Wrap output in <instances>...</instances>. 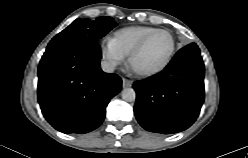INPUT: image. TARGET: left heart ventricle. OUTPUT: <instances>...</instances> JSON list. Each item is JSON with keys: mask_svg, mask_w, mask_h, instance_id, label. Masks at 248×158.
Returning a JSON list of instances; mask_svg holds the SVG:
<instances>
[{"mask_svg": "<svg viewBox=\"0 0 248 158\" xmlns=\"http://www.w3.org/2000/svg\"><path fill=\"white\" fill-rule=\"evenodd\" d=\"M171 40L164 33L154 34L142 51L134 58L132 67L136 70H148L159 66L167 57Z\"/></svg>", "mask_w": 248, "mask_h": 158, "instance_id": "left-heart-ventricle-1", "label": "left heart ventricle"}]
</instances>
